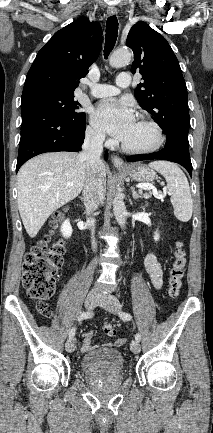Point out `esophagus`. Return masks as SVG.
<instances>
[{"label":"esophagus","instance_id":"34e87169","mask_svg":"<svg viewBox=\"0 0 213 433\" xmlns=\"http://www.w3.org/2000/svg\"><path fill=\"white\" fill-rule=\"evenodd\" d=\"M107 13L110 16L115 15V14H117V8L115 6H108ZM111 159H112V163L116 167H124L125 166L124 161L119 156L113 155L111 157Z\"/></svg>","mask_w":213,"mask_h":433}]
</instances>
